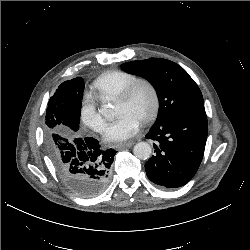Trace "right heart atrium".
<instances>
[{
	"label": "right heart atrium",
	"instance_id": "obj_1",
	"mask_svg": "<svg viewBox=\"0 0 250 250\" xmlns=\"http://www.w3.org/2000/svg\"><path fill=\"white\" fill-rule=\"evenodd\" d=\"M80 121L85 127L94 132H101L105 127V121L97 109L96 99L91 95H86L82 100Z\"/></svg>",
	"mask_w": 250,
	"mask_h": 250
}]
</instances>
